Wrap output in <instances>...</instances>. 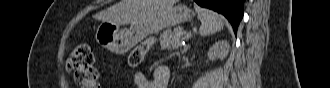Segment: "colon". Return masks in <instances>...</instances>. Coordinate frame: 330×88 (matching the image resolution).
Here are the masks:
<instances>
[{"instance_id": "1", "label": "colon", "mask_w": 330, "mask_h": 88, "mask_svg": "<svg viewBox=\"0 0 330 88\" xmlns=\"http://www.w3.org/2000/svg\"><path fill=\"white\" fill-rule=\"evenodd\" d=\"M152 39L145 40L134 48L129 55L131 67L139 66L145 53L151 48ZM66 68L74 73L76 83L82 88H99V72L95 57L89 45H77L66 60Z\"/></svg>"}]
</instances>
